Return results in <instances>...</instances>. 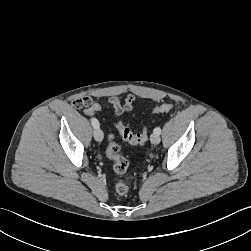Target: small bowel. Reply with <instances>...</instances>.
I'll use <instances>...</instances> for the list:
<instances>
[{
  "label": "small bowel",
  "mask_w": 251,
  "mask_h": 251,
  "mask_svg": "<svg viewBox=\"0 0 251 251\" xmlns=\"http://www.w3.org/2000/svg\"><path fill=\"white\" fill-rule=\"evenodd\" d=\"M110 104L113 106L116 114L122 115L125 112H128L132 109V105L134 102V97L132 95H128L125 99V102L122 104L117 97H111L109 99ZM94 103V98L91 95H85L84 97H77L74 102H72V107H76V109H85L92 106ZM101 106V105H100Z\"/></svg>",
  "instance_id": "small-bowel-1"
}]
</instances>
